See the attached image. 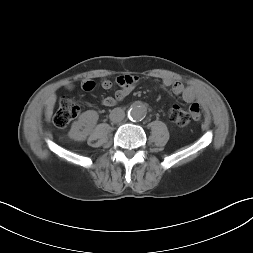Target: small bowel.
I'll return each instance as SVG.
<instances>
[{
  "label": "small bowel",
  "instance_id": "small-bowel-1",
  "mask_svg": "<svg viewBox=\"0 0 253 253\" xmlns=\"http://www.w3.org/2000/svg\"><path fill=\"white\" fill-rule=\"evenodd\" d=\"M138 78L129 75H122L117 78V83L120 88L115 92L114 96H107L102 99V105L112 107L123 100L133 89ZM164 87L170 88L171 91L180 96L184 102L190 104V112L194 119L198 120L201 117L202 99L197 91L191 86H185L180 82L173 81L170 78H165L162 81ZM85 91H91L95 88L94 81L90 79L83 80L81 84ZM67 89H72V85L68 84ZM101 87L105 90L112 88V82L106 78L101 80Z\"/></svg>",
  "mask_w": 253,
  "mask_h": 253
}]
</instances>
